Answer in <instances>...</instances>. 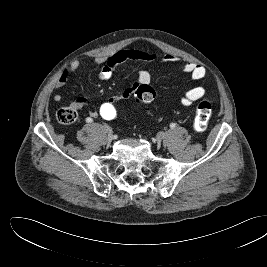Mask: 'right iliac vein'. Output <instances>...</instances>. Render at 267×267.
I'll list each match as a JSON object with an SVG mask.
<instances>
[{
    "label": "right iliac vein",
    "instance_id": "obj_1",
    "mask_svg": "<svg viewBox=\"0 0 267 267\" xmlns=\"http://www.w3.org/2000/svg\"><path fill=\"white\" fill-rule=\"evenodd\" d=\"M103 128H104V131L107 133V140L109 142H111L112 141V137H113L112 129L108 125H105Z\"/></svg>",
    "mask_w": 267,
    "mask_h": 267
}]
</instances>
